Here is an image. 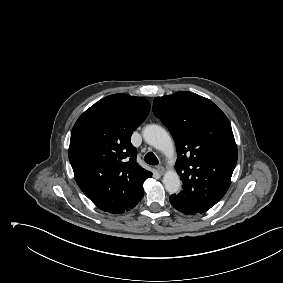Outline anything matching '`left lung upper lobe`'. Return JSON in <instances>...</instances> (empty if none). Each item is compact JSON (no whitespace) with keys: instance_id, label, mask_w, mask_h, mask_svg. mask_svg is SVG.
Segmentation results:
<instances>
[{"instance_id":"obj_1","label":"left lung upper lobe","mask_w":283,"mask_h":283,"mask_svg":"<svg viewBox=\"0 0 283 283\" xmlns=\"http://www.w3.org/2000/svg\"><path fill=\"white\" fill-rule=\"evenodd\" d=\"M153 113L176 143L175 169L183 182L177 195L208 211L227 192L237 162L229 120L209 99L183 91L156 97Z\"/></svg>"}]
</instances>
